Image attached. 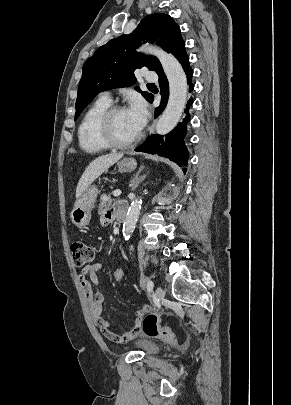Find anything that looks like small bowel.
<instances>
[{"label": "small bowel", "mask_w": 291, "mask_h": 405, "mask_svg": "<svg viewBox=\"0 0 291 405\" xmlns=\"http://www.w3.org/2000/svg\"><path fill=\"white\" fill-rule=\"evenodd\" d=\"M117 216V208L104 212L102 223H110ZM102 269L100 263H94L86 266L81 273L80 279L82 289L88 301L91 317L95 325L101 330L102 334L112 343L122 344L135 338L141 330L143 316L149 311V306L144 305L135 314L134 324L129 330L122 334H116L109 330V321L102 316L104 295L99 291H94L93 285H98V273Z\"/></svg>", "instance_id": "c3829d8e"}]
</instances>
